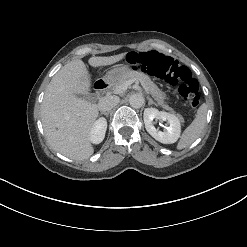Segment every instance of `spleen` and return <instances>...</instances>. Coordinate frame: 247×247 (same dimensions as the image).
<instances>
[{
  "label": "spleen",
  "mask_w": 247,
  "mask_h": 247,
  "mask_svg": "<svg viewBox=\"0 0 247 247\" xmlns=\"http://www.w3.org/2000/svg\"><path fill=\"white\" fill-rule=\"evenodd\" d=\"M207 115V106L202 104L197 110V115L193 122L184 130L178 144L177 149L181 150L190 146L202 133Z\"/></svg>",
  "instance_id": "1"
}]
</instances>
